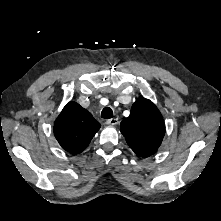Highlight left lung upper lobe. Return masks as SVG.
<instances>
[{
	"mask_svg": "<svg viewBox=\"0 0 221 221\" xmlns=\"http://www.w3.org/2000/svg\"><path fill=\"white\" fill-rule=\"evenodd\" d=\"M120 127L129 147L144 158L157 151L165 134L159 110L145 98L133 103L129 117L122 120Z\"/></svg>",
	"mask_w": 221,
	"mask_h": 221,
	"instance_id": "1",
	"label": "left lung upper lobe"
}]
</instances>
